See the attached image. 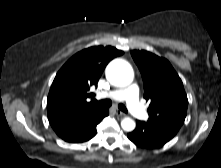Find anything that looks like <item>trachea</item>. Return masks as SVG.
Returning a JSON list of instances; mask_svg holds the SVG:
<instances>
[{
  "mask_svg": "<svg viewBox=\"0 0 221 168\" xmlns=\"http://www.w3.org/2000/svg\"><path fill=\"white\" fill-rule=\"evenodd\" d=\"M94 102H96L97 104H99L100 106H103V107H110V106L112 105V101H111V100H108V99L100 100V101L94 100ZM118 108H119L121 111L127 113V109H126V107H125L123 104H119V105H118Z\"/></svg>",
  "mask_w": 221,
  "mask_h": 168,
  "instance_id": "obj_1",
  "label": "trachea"
}]
</instances>
